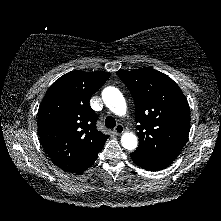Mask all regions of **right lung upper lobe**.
<instances>
[{
	"label": "right lung upper lobe",
	"mask_w": 221,
	"mask_h": 221,
	"mask_svg": "<svg viewBox=\"0 0 221 221\" xmlns=\"http://www.w3.org/2000/svg\"><path fill=\"white\" fill-rule=\"evenodd\" d=\"M108 72L73 71L48 89L38 111V131L46 153L64 171L77 172L108 138L96 129L91 96L109 79Z\"/></svg>",
	"instance_id": "right-lung-upper-lobe-1"
}]
</instances>
